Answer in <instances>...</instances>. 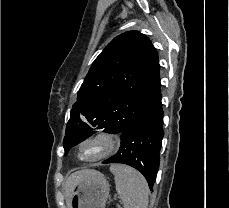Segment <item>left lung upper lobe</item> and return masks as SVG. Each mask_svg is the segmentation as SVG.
Instances as JSON below:
<instances>
[{"label":"left lung upper lobe","mask_w":229,"mask_h":208,"mask_svg":"<svg viewBox=\"0 0 229 208\" xmlns=\"http://www.w3.org/2000/svg\"><path fill=\"white\" fill-rule=\"evenodd\" d=\"M158 54L138 31L115 37L93 62L77 93L64 137L69 149L105 128L122 133L161 99Z\"/></svg>","instance_id":"obj_1"}]
</instances>
